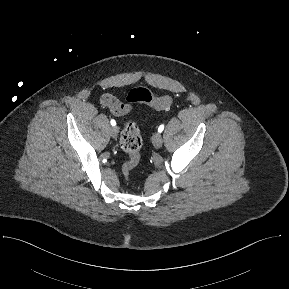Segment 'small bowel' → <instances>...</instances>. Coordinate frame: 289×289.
<instances>
[{"instance_id": "small-bowel-1", "label": "small bowel", "mask_w": 289, "mask_h": 289, "mask_svg": "<svg viewBox=\"0 0 289 289\" xmlns=\"http://www.w3.org/2000/svg\"><path fill=\"white\" fill-rule=\"evenodd\" d=\"M100 104L103 107L108 108L112 112V114L117 117L126 115L130 113L133 109V106L130 102L123 103L114 95L109 93L103 94L101 96Z\"/></svg>"}]
</instances>
